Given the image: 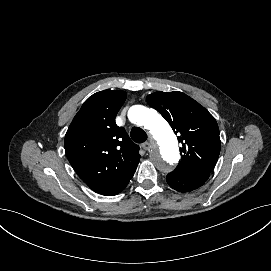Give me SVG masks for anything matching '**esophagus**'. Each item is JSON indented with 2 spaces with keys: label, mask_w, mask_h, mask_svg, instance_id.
<instances>
[{
  "label": "esophagus",
  "mask_w": 271,
  "mask_h": 271,
  "mask_svg": "<svg viewBox=\"0 0 271 271\" xmlns=\"http://www.w3.org/2000/svg\"><path fill=\"white\" fill-rule=\"evenodd\" d=\"M149 138L152 139V136L149 135ZM141 146H142V148H143L144 150H151V149L154 148L155 144H154V142L151 141V142H145V143H143Z\"/></svg>",
  "instance_id": "34e87169"
}]
</instances>
